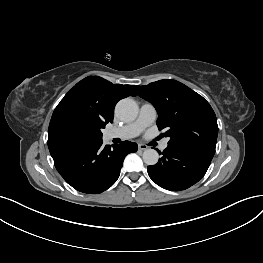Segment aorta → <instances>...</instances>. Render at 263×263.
Returning a JSON list of instances; mask_svg holds the SVG:
<instances>
[{
    "mask_svg": "<svg viewBox=\"0 0 263 263\" xmlns=\"http://www.w3.org/2000/svg\"><path fill=\"white\" fill-rule=\"evenodd\" d=\"M117 116L126 122L133 121L138 115V105L130 98L120 100L115 108ZM143 161L147 165H155L159 160V154L154 149H146L143 152Z\"/></svg>",
    "mask_w": 263,
    "mask_h": 263,
    "instance_id": "aorta-1",
    "label": "aorta"
}]
</instances>
